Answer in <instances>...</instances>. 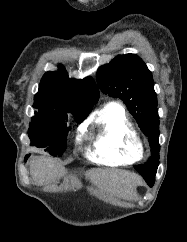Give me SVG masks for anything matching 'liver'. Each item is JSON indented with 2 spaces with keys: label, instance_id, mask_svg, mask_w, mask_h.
Segmentation results:
<instances>
[{
  "label": "liver",
  "instance_id": "1",
  "mask_svg": "<svg viewBox=\"0 0 187 242\" xmlns=\"http://www.w3.org/2000/svg\"><path fill=\"white\" fill-rule=\"evenodd\" d=\"M64 174L65 169L61 163L50 157L31 158L30 175L36 184L54 182ZM87 176L106 192L120 198H130L139 180L134 173L115 169H92L87 172Z\"/></svg>",
  "mask_w": 187,
  "mask_h": 242
}]
</instances>
